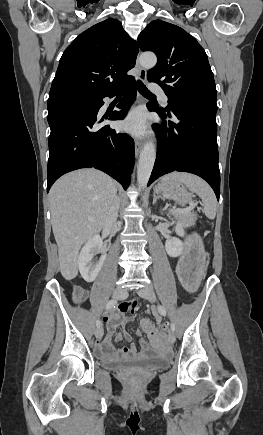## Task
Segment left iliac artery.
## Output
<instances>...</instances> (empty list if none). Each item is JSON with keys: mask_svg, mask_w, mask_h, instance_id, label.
I'll return each instance as SVG.
<instances>
[{"mask_svg": "<svg viewBox=\"0 0 263 435\" xmlns=\"http://www.w3.org/2000/svg\"><path fill=\"white\" fill-rule=\"evenodd\" d=\"M158 312L162 315V316H166V310L163 306L159 305L158 306ZM170 328L171 330L174 332L175 331V325L173 323L170 324Z\"/></svg>", "mask_w": 263, "mask_h": 435, "instance_id": "1", "label": "left iliac artery"}]
</instances>
